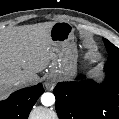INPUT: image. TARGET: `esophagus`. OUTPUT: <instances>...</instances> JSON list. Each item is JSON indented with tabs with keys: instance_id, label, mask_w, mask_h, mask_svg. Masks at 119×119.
Here are the masks:
<instances>
[{
	"instance_id": "esophagus-1",
	"label": "esophagus",
	"mask_w": 119,
	"mask_h": 119,
	"mask_svg": "<svg viewBox=\"0 0 119 119\" xmlns=\"http://www.w3.org/2000/svg\"><path fill=\"white\" fill-rule=\"evenodd\" d=\"M45 86L47 89L52 90L55 87V83L54 81L49 80L45 83Z\"/></svg>"
}]
</instances>
